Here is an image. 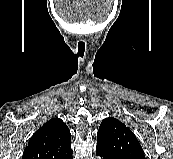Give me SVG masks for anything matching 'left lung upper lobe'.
<instances>
[{
    "instance_id": "5c2ea615",
    "label": "left lung upper lobe",
    "mask_w": 173,
    "mask_h": 159,
    "mask_svg": "<svg viewBox=\"0 0 173 159\" xmlns=\"http://www.w3.org/2000/svg\"><path fill=\"white\" fill-rule=\"evenodd\" d=\"M96 149L113 159H145L134 133L113 117L102 121L97 134Z\"/></svg>"
}]
</instances>
